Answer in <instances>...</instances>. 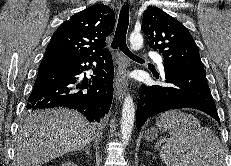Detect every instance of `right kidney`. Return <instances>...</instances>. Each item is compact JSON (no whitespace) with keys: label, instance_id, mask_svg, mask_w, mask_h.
<instances>
[{"label":"right kidney","instance_id":"obj_1","mask_svg":"<svg viewBox=\"0 0 231 166\" xmlns=\"http://www.w3.org/2000/svg\"><path fill=\"white\" fill-rule=\"evenodd\" d=\"M60 166H77L74 162L68 161L62 163Z\"/></svg>","mask_w":231,"mask_h":166}]
</instances>
